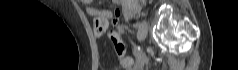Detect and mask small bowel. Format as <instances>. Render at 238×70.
<instances>
[{
  "instance_id": "1",
  "label": "small bowel",
  "mask_w": 238,
  "mask_h": 70,
  "mask_svg": "<svg viewBox=\"0 0 238 70\" xmlns=\"http://www.w3.org/2000/svg\"><path fill=\"white\" fill-rule=\"evenodd\" d=\"M84 11L93 17L94 32L100 36L106 32L109 27L110 20L113 18V13L109 10L100 11L92 6L91 0H81ZM116 19L114 24L118 31L125 32L119 22L120 11L115 12ZM117 33V32H116Z\"/></svg>"
}]
</instances>
